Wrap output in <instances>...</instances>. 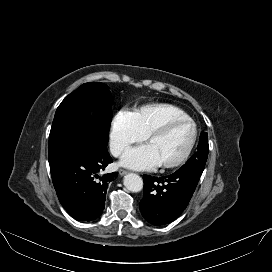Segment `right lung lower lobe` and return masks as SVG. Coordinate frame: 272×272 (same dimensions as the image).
Listing matches in <instances>:
<instances>
[{"mask_svg": "<svg viewBox=\"0 0 272 272\" xmlns=\"http://www.w3.org/2000/svg\"><path fill=\"white\" fill-rule=\"evenodd\" d=\"M111 162L107 145L83 137L50 164L59 201L74 219L91 221L102 214L108 184L117 173L100 176L99 172Z\"/></svg>", "mask_w": 272, "mask_h": 272, "instance_id": "obj_1", "label": "right lung lower lobe"}]
</instances>
